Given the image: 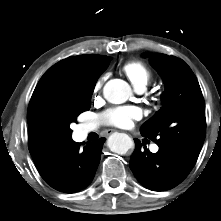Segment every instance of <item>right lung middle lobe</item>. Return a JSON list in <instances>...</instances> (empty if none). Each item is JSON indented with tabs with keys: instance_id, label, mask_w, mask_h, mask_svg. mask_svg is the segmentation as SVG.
<instances>
[{
	"instance_id": "1",
	"label": "right lung middle lobe",
	"mask_w": 221,
	"mask_h": 221,
	"mask_svg": "<svg viewBox=\"0 0 221 221\" xmlns=\"http://www.w3.org/2000/svg\"><path fill=\"white\" fill-rule=\"evenodd\" d=\"M105 69L84 75L61 109L42 115L36 127V136L42 145L59 147L72 140L69 125L80 113L90 109L96 81Z\"/></svg>"
}]
</instances>
